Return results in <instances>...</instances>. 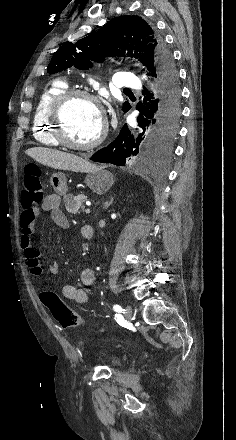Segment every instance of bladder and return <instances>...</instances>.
Returning a JSON list of instances; mask_svg holds the SVG:
<instances>
[{"mask_svg": "<svg viewBox=\"0 0 236 440\" xmlns=\"http://www.w3.org/2000/svg\"><path fill=\"white\" fill-rule=\"evenodd\" d=\"M119 364H120V361H119V359L116 356H110L109 357V366L111 368H116V367L119 366Z\"/></svg>", "mask_w": 236, "mask_h": 440, "instance_id": "obj_1", "label": "bladder"}]
</instances>
